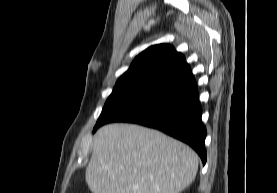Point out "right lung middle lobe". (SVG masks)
<instances>
[{"instance_id": "1", "label": "right lung middle lobe", "mask_w": 277, "mask_h": 193, "mask_svg": "<svg viewBox=\"0 0 277 193\" xmlns=\"http://www.w3.org/2000/svg\"><path fill=\"white\" fill-rule=\"evenodd\" d=\"M147 94L149 93L143 91L114 89L107 99L93 131L110 120L114 115L133 105Z\"/></svg>"}]
</instances>
